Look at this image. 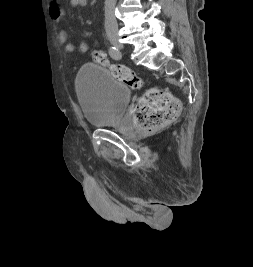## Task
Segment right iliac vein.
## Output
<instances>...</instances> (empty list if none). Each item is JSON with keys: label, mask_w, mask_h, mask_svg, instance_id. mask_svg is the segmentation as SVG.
<instances>
[{"label": "right iliac vein", "mask_w": 253, "mask_h": 267, "mask_svg": "<svg viewBox=\"0 0 253 267\" xmlns=\"http://www.w3.org/2000/svg\"><path fill=\"white\" fill-rule=\"evenodd\" d=\"M109 41L114 45V46H116V47H122V45L119 43V41H118V39H117V37L116 36H111L110 38H109Z\"/></svg>", "instance_id": "1"}]
</instances>
